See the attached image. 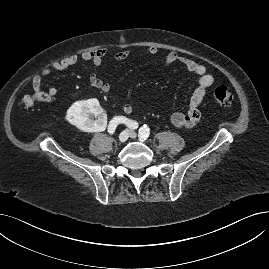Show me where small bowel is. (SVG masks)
Returning <instances> with one entry per match:
<instances>
[{
  "mask_svg": "<svg viewBox=\"0 0 269 269\" xmlns=\"http://www.w3.org/2000/svg\"><path fill=\"white\" fill-rule=\"evenodd\" d=\"M146 54L154 55L158 52V48L150 46L144 50ZM107 55L106 48H98L95 50L84 51L80 56L69 55L63 59L54 61L47 66L41 73L33 76L31 85L35 92H42L43 79L53 72L64 71L74 65L79 60L92 62L95 66H101L104 58ZM130 55L129 50L119 51L114 54L113 58L116 61H123ZM175 63L181 64L189 73L197 77V86L191 93L187 109L185 111H177L171 115L172 124L181 129H189L194 127L201 119L200 105L207 96L208 90L214 83V77L207 72V69L201 63L181 56L176 51H169L164 58V64L171 66ZM90 82L93 87L103 93H108L111 90V86L108 82L104 81L99 74L94 73L90 76ZM57 89L50 87L44 95V102L50 103L57 95ZM122 112L125 115H130L133 111V107L130 103H124L121 107ZM129 120V119H128ZM110 124V123H109ZM120 124V123H119Z\"/></svg>",
  "mask_w": 269,
  "mask_h": 269,
  "instance_id": "1",
  "label": "small bowel"
}]
</instances>
